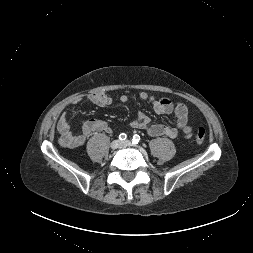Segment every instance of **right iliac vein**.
<instances>
[{
	"label": "right iliac vein",
	"mask_w": 253,
	"mask_h": 253,
	"mask_svg": "<svg viewBox=\"0 0 253 253\" xmlns=\"http://www.w3.org/2000/svg\"><path fill=\"white\" fill-rule=\"evenodd\" d=\"M120 145H121V142L119 140H114L110 144V147H111V149L115 150V149L119 148Z\"/></svg>",
	"instance_id": "63e3f726"
}]
</instances>
